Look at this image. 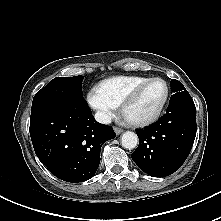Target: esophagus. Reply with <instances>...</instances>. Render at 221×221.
Returning a JSON list of instances; mask_svg holds the SVG:
<instances>
[{
    "instance_id": "34e87169",
    "label": "esophagus",
    "mask_w": 221,
    "mask_h": 221,
    "mask_svg": "<svg viewBox=\"0 0 221 221\" xmlns=\"http://www.w3.org/2000/svg\"><path fill=\"white\" fill-rule=\"evenodd\" d=\"M114 132H115V134L116 135H119V134H121L124 130L123 129H121V128H118V127H114Z\"/></svg>"
}]
</instances>
